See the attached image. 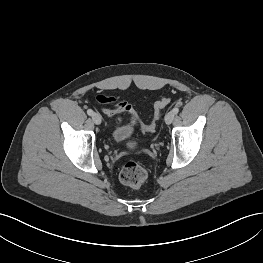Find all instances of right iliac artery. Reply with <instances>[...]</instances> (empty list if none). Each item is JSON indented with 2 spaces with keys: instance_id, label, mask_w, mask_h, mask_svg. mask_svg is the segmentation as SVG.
<instances>
[{
  "instance_id": "right-iliac-artery-1",
  "label": "right iliac artery",
  "mask_w": 263,
  "mask_h": 263,
  "mask_svg": "<svg viewBox=\"0 0 263 263\" xmlns=\"http://www.w3.org/2000/svg\"><path fill=\"white\" fill-rule=\"evenodd\" d=\"M93 113H94V112H93V110H92V109H88V110H87V114H88V115L92 116V115H93Z\"/></svg>"
}]
</instances>
